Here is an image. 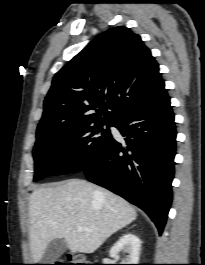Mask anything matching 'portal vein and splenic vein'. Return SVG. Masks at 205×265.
Segmentation results:
<instances>
[{"mask_svg": "<svg viewBox=\"0 0 205 265\" xmlns=\"http://www.w3.org/2000/svg\"><path fill=\"white\" fill-rule=\"evenodd\" d=\"M84 230H85V231H89V229L84 228L83 226H78V227H77V231H78V232H82V231H84Z\"/></svg>", "mask_w": 205, "mask_h": 265, "instance_id": "obj_1", "label": "portal vein and splenic vein"}]
</instances>
